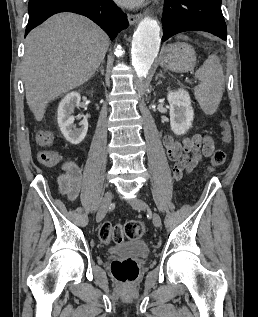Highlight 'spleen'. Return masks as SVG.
<instances>
[{
    "label": "spleen",
    "instance_id": "3e777b00",
    "mask_svg": "<svg viewBox=\"0 0 258 317\" xmlns=\"http://www.w3.org/2000/svg\"><path fill=\"white\" fill-rule=\"evenodd\" d=\"M195 76L200 84L195 86L194 94L205 114H214L224 90V74L218 56L210 54Z\"/></svg>",
    "mask_w": 258,
    "mask_h": 317
}]
</instances>
